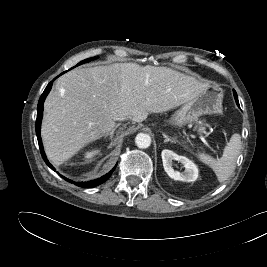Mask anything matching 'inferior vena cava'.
Listing matches in <instances>:
<instances>
[{
  "label": "inferior vena cava",
  "mask_w": 267,
  "mask_h": 267,
  "mask_svg": "<svg viewBox=\"0 0 267 267\" xmlns=\"http://www.w3.org/2000/svg\"><path fill=\"white\" fill-rule=\"evenodd\" d=\"M125 118H123V117H118V118H116V120H124Z\"/></svg>",
  "instance_id": "obj_1"
}]
</instances>
